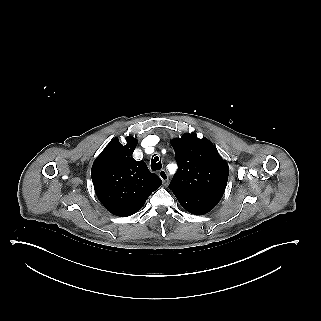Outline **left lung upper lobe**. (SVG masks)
Segmentation results:
<instances>
[{"label": "left lung upper lobe", "mask_w": 321, "mask_h": 321, "mask_svg": "<svg viewBox=\"0 0 321 321\" xmlns=\"http://www.w3.org/2000/svg\"><path fill=\"white\" fill-rule=\"evenodd\" d=\"M171 145L179 165L169 185L174 195L225 191L229 167L210 140L186 133Z\"/></svg>", "instance_id": "left-lung-upper-lobe-1"}]
</instances>
